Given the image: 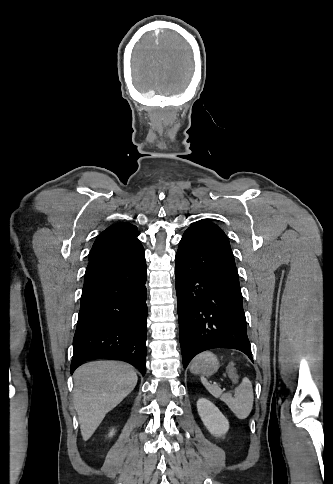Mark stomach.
<instances>
[{"instance_id": "stomach-1", "label": "stomach", "mask_w": 333, "mask_h": 484, "mask_svg": "<svg viewBox=\"0 0 333 484\" xmlns=\"http://www.w3.org/2000/svg\"><path fill=\"white\" fill-rule=\"evenodd\" d=\"M219 368L217 357L211 352H203L197 356L191 363L190 371L194 374H202L204 376H211Z\"/></svg>"}]
</instances>
